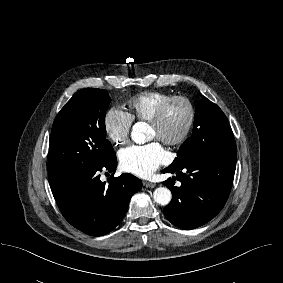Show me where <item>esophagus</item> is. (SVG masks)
Listing matches in <instances>:
<instances>
[{
	"label": "esophagus",
	"mask_w": 283,
	"mask_h": 283,
	"mask_svg": "<svg viewBox=\"0 0 283 283\" xmlns=\"http://www.w3.org/2000/svg\"><path fill=\"white\" fill-rule=\"evenodd\" d=\"M143 185L147 188H154L156 186V184L149 181H143Z\"/></svg>",
	"instance_id": "obj_1"
}]
</instances>
